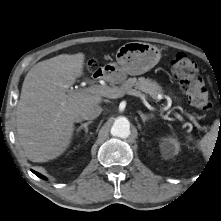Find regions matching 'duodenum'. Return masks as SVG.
<instances>
[{"label":"duodenum","instance_id":"410a0bca","mask_svg":"<svg viewBox=\"0 0 221 221\" xmlns=\"http://www.w3.org/2000/svg\"><path fill=\"white\" fill-rule=\"evenodd\" d=\"M93 77L95 80L104 79L105 73L103 72V70L99 69L94 72Z\"/></svg>","mask_w":221,"mask_h":221}]
</instances>
